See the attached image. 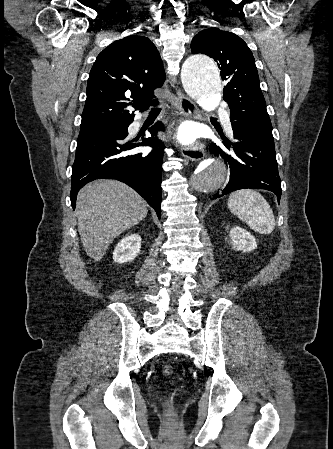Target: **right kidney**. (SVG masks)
I'll return each mask as SVG.
<instances>
[{
    "label": "right kidney",
    "mask_w": 333,
    "mask_h": 449,
    "mask_svg": "<svg viewBox=\"0 0 333 449\" xmlns=\"http://www.w3.org/2000/svg\"><path fill=\"white\" fill-rule=\"evenodd\" d=\"M141 248V237L138 234H130L123 238L115 247L113 260L117 263L132 261L136 258Z\"/></svg>",
    "instance_id": "ca27d5eb"
}]
</instances>
